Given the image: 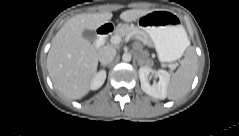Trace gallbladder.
Returning a JSON list of instances; mask_svg holds the SVG:
<instances>
[{"mask_svg":"<svg viewBox=\"0 0 239 136\" xmlns=\"http://www.w3.org/2000/svg\"><path fill=\"white\" fill-rule=\"evenodd\" d=\"M82 36L84 39L88 40L91 43H93L97 38L96 33L93 30L89 29H85L82 33Z\"/></svg>","mask_w":239,"mask_h":136,"instance_id":"1","label":"gallbladder"}]
</instances>
